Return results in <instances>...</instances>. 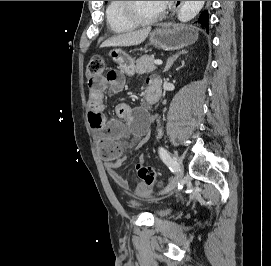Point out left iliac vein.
Listing matches in <instances>:
<instances>
[{
    "instance_id": "4c4485c4",
    "label": "left iliac vein",
    "mask_w": 271,
    "mask_h": 266,
    "mask_svg": "<svg viewBox=\"0 0 271 266\" xmlns=\"http://www.w3.org/2000/svg\"><path fill=\"white\" fill-rule=\"evenodd\" d=\"M173 160L175 161V164H176V173H177V175L171 181V183L164 190H162L160 192L161 194L168 193V192L172 191L183 178V166H182L181 158L180 157H174Z\"/></svg>"
}]
</instances>
